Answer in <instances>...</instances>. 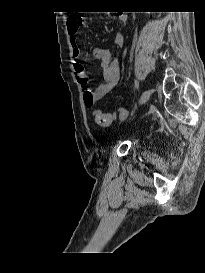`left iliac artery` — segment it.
Returning <instances> with one entry per match:
<instances>
[{
  "instance_id": "44dca946",
  "label": "left iliac artery",
  "mask_w": 205,
  "mask_h": 273,
  "mask_svg": "<svg viewBox=\"0 0 205 273\" xmlns=\"http://www.w3.org/2000/svg\"><path fill=\"white\" fill-rule=\"evenodd\" d=\"M135 87H136V89L139 88V82L137 80L135 81Z\"/></svg>"
}]
</instances>
